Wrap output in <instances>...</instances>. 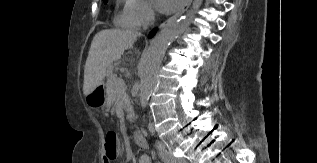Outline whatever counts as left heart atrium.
Returning <instances> with one entry per match:
<instances>
[{
  "mask_svg": "<svg viewBox=\"0 0 317 163\" xmlns=\"http://www.w3.org/2000/svg\"><path fill=\"white\" fill-rule=\"evenodd\" d=\"M183 0H155L156 8L162 13L174 11Z\"/></svg>",
  "mask_w": 317,
  "mask_h": 163,
  "instance_id": "left-heart-atrium-1",
  "label": "left heart atrium"
}]
</instances>
